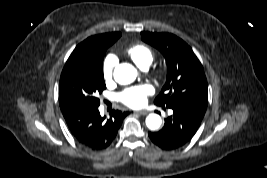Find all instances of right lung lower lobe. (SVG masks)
<instances>
[{
	"label": "right lung lower lobe",
	"instance_id": "98d812e1",
	"mask_svg": "<svg viewBox=\"0 0 267 178\" xmlns=\"http://www.w3.org/2000/svg\"><path fill=\"white\" fill-rule=\"evenodd\" d=\"M62 110L67 126L76 141L91 150H103L115 139L126 112L113 110L102 117L98 106L72 104Z\"/></svg>",
	"mask_w": 267,
	"mask_h": 178
}]
</instances>
